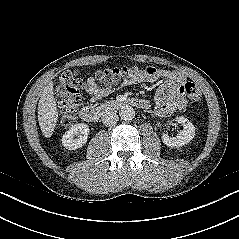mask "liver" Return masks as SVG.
I'll use <instances>...</instances> for the list:
<instances>
[{"instance_id":"1","label":"liver","mask_w":239,"mask_h":239,"mask_svg":"<svg viewBox=\"0 0 239 239\" xmlns=\"http://www.w3.org/2000/svg\"><path fill=\"white\" fill-rule=\"evenodd\" d=\"M38 121L46 138H50L58 121V111L54 98L53 82L44 88L38 104Z\"/></svg>"}]
</instances>
